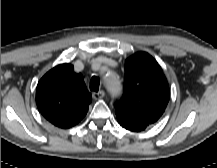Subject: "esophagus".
Returning a JSON list of instances; mask_svg holds the SVG:
<instances>
[{
	"label": "esophagus",
	"instance_id": "1",
	"mask_svg": "<svg viewBox=\"0 0 217 168\" xmlns=\"http://www.w3.org/2000/svg\"><path fill=\"white\" fill-rule=\"evenodd\" d=\"M104 96H105V91H104V90H100V91H98V92H94V93H93V98H94L95 100L102 99Z\"/></svg>",
	"mask_w": 217,
	"mask_h": 168
}]
</instances>
